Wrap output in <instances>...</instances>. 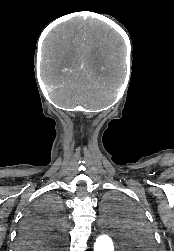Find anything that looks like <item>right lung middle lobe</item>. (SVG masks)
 <instances>
[{
	"label": "right lung middle lobe",
	"mask_w": 174,
	"mask_h": 251,
	"mask_svg": "<svg viewBox=\"0 0 174 251\" xmlns=\"http://www.w3.org/2000/svg\"><path fill=\"white\" fill-rule=\"evenodd\" d=\"M25 221L47 225L52 235H60L65 224L61 201L55 195L40 198L30 209Z\"/></svg>",
	"instance_id": "right-lung-middle-lobe-1"
}]
</instances>
